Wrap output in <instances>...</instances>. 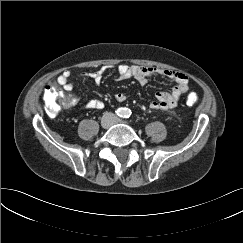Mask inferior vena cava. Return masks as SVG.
Returning a JSON list of instances; mask_svg holds the SVG:
<instances>
[{
    "instance_id": "1",
    "label": "inferior vena cava",
    "mask_w": 243,
    "mask_h": 243,
    "mask_svg": "<svg viewBox=\"0 0 243 243\" xmlns=\"http://www.w3.org/2000/svg\"><path fill=\"white\" fill-rule=\"evenodd\" d=\"M105 117H109L110 118V124H113L114 122H115V120H116V116H115V114H113V113H105V115H104Z\"/></svg>"
}]
</instances>
